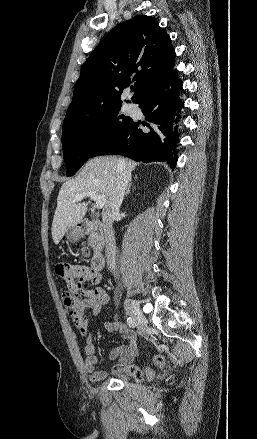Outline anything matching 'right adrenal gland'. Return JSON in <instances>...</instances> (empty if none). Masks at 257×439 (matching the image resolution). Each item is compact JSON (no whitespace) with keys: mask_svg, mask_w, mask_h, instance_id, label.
I'll list each match as a JSON object with an SVG mask.
<instances>
[{"mask_svg":"<svg viewBox=\"0 0 257 439\" xmlns=\"http://www.w3.org/2000/svg\"><path fill=\"white\" fill-rule=\"evenodd\" d=\"M135 178H137V176ZM131 185H132V183L130 182L127 189H126L125 196H127L130 193Z\"/></svg>","mask_w":257,"mask_h":439,"instance_id":"obj_1","label":"right adrenal gland"}]
</instances>
